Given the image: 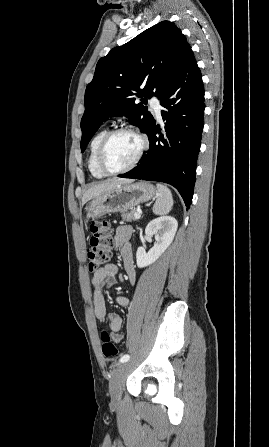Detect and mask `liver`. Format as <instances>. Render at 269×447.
I'll return each mask as SVG.
<instances>
[{
  "label": "liver",
  "mask_w": 269,
  "mask_h": 447,
  "mask_svg": "<svg viewBox=\"0 0 269 447\" xmlns=\"http://www.w3.org/2000/svg\"><path fill=\"white\" fill-rule=\"evenodd\" d=\"M134 180H115V182H111V180H106V182H96V184H92L89 190H86L83 194L82 198V206L88 202V200H92V198H97V196H101V194H105V192H110L119 184H131Z\"/></svg>",
  "instance_id": "obj_1"
}]
</instances>
